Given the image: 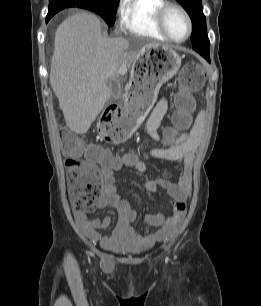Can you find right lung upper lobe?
Returning <instances> with one entry per match:
<instances>
[{
    "label": "right lung upper lobe",
    "instance_id": "1",
    "mask_svg": "<svg viewBox=\"0 0 261 306\" xmlns=\"http://www.w3.org/2000/svg\"><path fill=\"white\" fill-rule=\"evenodd\" d=\"M49 1H76V0H49Z\"/></svg>",
    "mask_w": 261,
    "mask_h": 306
}]
</instances>
